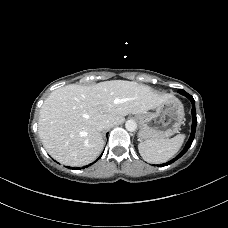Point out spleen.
<instances>
[{
	"mask_svg": "<svg viewBox=\"0 0 228 228\" xmlns=\"http://www.w3.org/2000/svg\"><path fill=\"white\" fill-rule=\"evenodd\" d=\"M184 139L185 135L179 134L171 139L146 140L138 144V150L146 162L160 164L170 160L179 151Z\"/></svg>",
	"mask_w": 228,
	"mask_h": 228,
	"instance_id": "3e777b00",
	"label": "spleen"
}]
</instances>
